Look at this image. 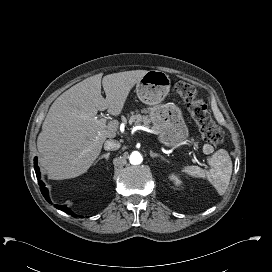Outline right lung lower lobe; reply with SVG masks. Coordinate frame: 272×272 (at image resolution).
<instances>
[{"mask_svg": "<svg viewBox=\"0 0 272 272\" xmlns=\"http://www.w3.org/2000/svg\"><path fill=\"white\" fill-rule=\"evenodd\" d=\"M34 168H35V172H36V176H37V179L39 181V185H40V190H41V193L43 194L44 198L49 202L51 203L49 197H48V190L47 188L45 187V184L40 180L41 178V175H40V171H39V167L37 166V157L34 158ZM55 207L57 209H60L62 211H65L66 213L72 215L73 217H77L76 214H74L70 208H67L66 206H62V205H55Z\"/></svg>", "mask_w": 272, "mask_h": 272, "instance_id": "98d812e1", "label": "right lung lower lobe"}]
</instances>
